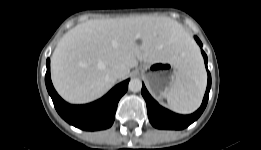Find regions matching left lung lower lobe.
<instances>
[{
  "mask_svg": "<svg viewBox=\"0 0 261 150\" xmlns=\"http://www.w3.org/2000/svg\"><path fill=\"white\" fill-rule=\"evenodd\" d=\"M195 40L199 44L200 47H202L201 41L195 36ZM202 55L204 57L205 61V66L207 69V56L205 52L202 50ZM208 84H207V89L206 93L202 102L201 107L193 114L191 115H179L176 113H173L163 107H161L148 93L145 85L143 84L142 86V95L146 101L147 104V112H148V117L151 122V124L158 128V129H175V130H181L186 127H188L191 123L196 121L202 112L204 111L207 102H208V96H209V91L211 88V75L210 72L208 71Z\"/></svg>",
  "mask_w": 261,
  "mask_h": 150,
  "instance_id": "left-lung-lower-lobe-1",
  "label": "left lung lower lobe"
}]
</instances>
